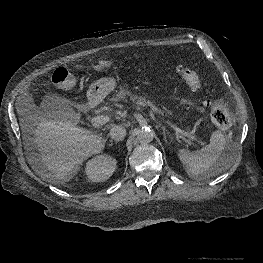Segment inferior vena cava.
<instances>
[{"label":"inferior vena cava","instance_id":"602c4592","mask_svg":"<svg viewBox=\"0 0 263 263\" xmlns=\"http://www.w3.org/2000/svg\"><path fill=\"white\" fill-rule=\"evenodd\" d=\"M109 136L116 141L123 140L126 136V129L120 125L113 126L110 130Z\"/></svg>","mask_w":263,"mask_h":263}]
</instances>
